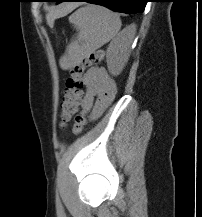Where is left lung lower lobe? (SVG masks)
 I'll return each instance as SVG.
<instances>
[{
  "mask_svg": "<svg viewBox=\"0 0 202 217\" xmlns=\"http://www.w3.org/2000/svg\"><path fill=\"white\" fill-rule=\"evenodd\" d=\"M65 1L89 2L105 6L116 12H122L127 14L143 12L147 3V0H55L57 4Z\"/></svg>",
  "mask_w": 202,
  "mask_h": 217,
  "instance_id": "0a47b994",
  "label": "left lung lower lobe"
}]
</instances>
